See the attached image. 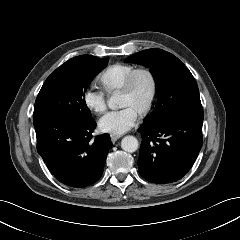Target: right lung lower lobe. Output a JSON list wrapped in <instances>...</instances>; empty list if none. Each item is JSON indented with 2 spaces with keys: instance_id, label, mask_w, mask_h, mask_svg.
<instances>
[{
  "instance_id": "right-lung-lower-lobe-1",
  "label": "right lung lower lobe",
  "mask_w": 240,
  "mask_h": 240,
  "mask_svg": "<svg viewBox=\"0 0 240 240\" xmlns=\"http://www.w3.org/2000/svg\"><path fill=\"white\" fill-rule=\"evenodd\" d=\"M33 121L37 151L58 181L83 188L100 179L112 142L106 133L92 139L94 119L41 116Z\"/></svg>"
}]
</instances>
